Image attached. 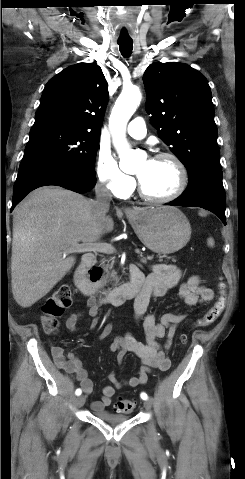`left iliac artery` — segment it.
Returning <instances> with one entry per match:
<instances>
[{"label":"left iliac artery","instance_id":"1","mask_svg":"<svg viewBox=\"0 0 245 479\" xmlns=\"http://www.w3.org/2000/svg\"><path fill=\"white\" fill-rule=\"evenodd\" d=\"M140 397L143 399V400H146L148 398L147 394L142 392Z\"/></svg>","mask_w":245,"mask_h":479}]
</instances>
